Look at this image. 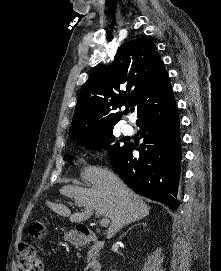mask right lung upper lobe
Returning <instances> with one entry per match:
<instances>
[{
  "label": "right lung upper lobe",
  "instance_id": "right-lung-upper-lobe-1",
  "mask_svg": "<svg viewBox=\"0 0 221 271\" xmlns=\"http://www.w3.org/2000/svg\"><path fill=\"white\" fill-rule=\"evenodd\" d=\"M173 101L169 76L154 43L137 38L119 47L111 68L98 66L92 71L80 91L69 135L75 139L113 129L125 114L114 110L123 105L136 107L139 120Z\"/></svg>",
  "mask_w": 221,
  "mask_h": 271
}]
</instances>
